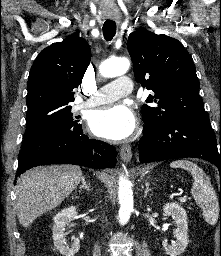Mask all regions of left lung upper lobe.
<instances>
[{"mask_svg": "<svg viewBox=\"0 0 221 256\" xmlns=\"http://www.w3.org/2000/svg\"><path fill=\"white\" fill-rule=\"evenodd\" d=\"M127 48L135 79L154 92L146 102L156 106L141 108L145 124L160 127L180 118L208 115L192 57L177 39L139 29L129 35Z\"/></svg>", "mask_w": 221, "mask_h": 256, "instance_id": "1", "label": "left lung upper lobe"}]
</instances>
